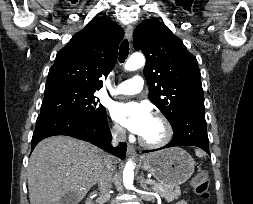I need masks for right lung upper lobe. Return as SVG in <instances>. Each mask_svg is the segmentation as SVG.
Listing matches in <instances>:
<instances>
[{"label":"right lung upper lobe","instance_id":"cb5924a9","mask_svg":"<svg viewBox=\"0 0 253 204\" xmlns=\"http://www.w3.org/2000/svg\"><path fill=\"white\" fill-rule=\"evenodd\" d=\"M123 36V29L113 21L94 18L57 53L46 84H74L99 90L103 86L101 77H107L116 63Z\"/></svg>","mask_w":253,"mask_h":204}]
</instances>
